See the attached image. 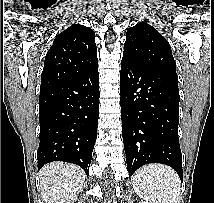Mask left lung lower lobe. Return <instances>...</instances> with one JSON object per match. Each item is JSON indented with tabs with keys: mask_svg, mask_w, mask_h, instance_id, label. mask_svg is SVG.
<instances>
[{
	"mask_svg": "<svg viewBox=\"0 0 214 203\" xmlns=\"http://www.w3.org/2000/svg\"><path fill=\"white\" fill-rule=\"evenodd\" d=\"M122 136L129 175L161 163L183 179L178 138V78L123 57L120 72Z\"/></svg>",
	"mask_w": 214,
	"mask_h": 203,
	"instance_id": "obj_1",
	"label": "left lung lower lobe"
}]
</instances>
